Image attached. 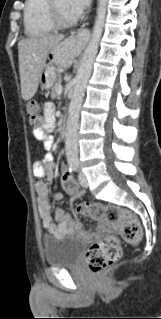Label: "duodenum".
Here are the masks:
<instances>
[{"label": "duodenum", "mask_w": 161, "mask_h": 319, "mask_svg": "<svg viewBox=\"0 0 161 319\" xmlns=\"http://www.w3.org/2000/svg\"><path fill=\"white\" fill-rule=\"evenodd\" d=\"M66 127L65 126H63L62 128H61V131H60V135L61 136H65L66 135Z\"/></svg>", "instance_id": "obj_1"}]
</instances>
